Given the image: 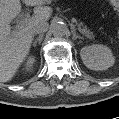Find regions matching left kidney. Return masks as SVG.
Segmentation results:
<instances>
[{"label": "left kidney", "mask_w": 119, "mask_h": 119, "mask_svg": "<svg viewBox=\"0 0 119 119\" xmlns=\"http://www.w3.org/2000/svg\"><path fill=\"white\" fill-rule=\"evenodd\" d=\"M80 56L84 65L95 71L106 70L115 63L111 49L102 44L84 46L80 50Z\"/></svg>", "instance_id": "left-kidney-1"}]
</instances>
